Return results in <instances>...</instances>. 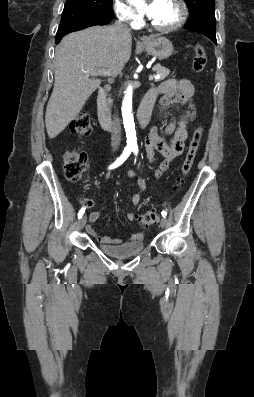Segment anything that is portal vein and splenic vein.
Segmentation results:
<instances>
[{"label": "portal vein and splenic vein", "instance_id": "obj_1", "mask_svg": "<svg viewBox=\"0 0 254 397\" xmlns=\"http://www.w3.org/2000/svg\"><path fill=\"white\" fill-rule=\"evenodd\" d=\"M92 74L93 75H105V76H110L111 75V73L109 71H107L106 69H103V68H100V69H97L96 71H93ZM153 78H154V76L150 75L149 76V81H152ZM155 78L158 79V78H160V76L157 75V76H155Z\"/></svg>", "mask_w": 254, "mask_h": 397}]
</instances>
